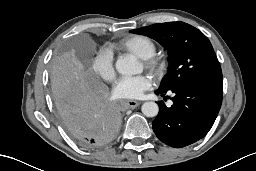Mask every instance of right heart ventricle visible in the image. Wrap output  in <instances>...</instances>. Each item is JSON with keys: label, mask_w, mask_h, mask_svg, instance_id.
<instances>
[{"label": "right heart ventricle", "mask_w": 256, "mask_h": 171, "mask_svg": "<svg viewBox=\"0 0 256 171\" xmlns=\"http://www.w3.org/2000/svg\"><path fill=\"white\" fill-rule=\"evenodd\" d=\"M118 47L143 59L156 52V45L152 39L143 35H133L118 43Z\"/></svg>", "instance_id": "right-heart-ventricle-1"}]
</instances>
